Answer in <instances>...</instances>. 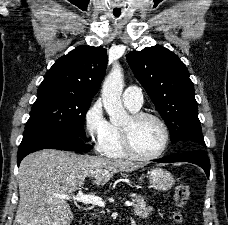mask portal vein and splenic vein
<instances>
[{"mask_svg":"<svg viewBox=\"0 0 228 225\" xmlns=\"http://www.w3.org/2000/svg\"><path fill=\"white\" fill-rule=\"evenodd\" d=\"M77 195H57L59 199H66V201H78V203H92V205H98V207H105L106 203L101 199V197H89V195H84V191L81 186L77 187ZM127 207H132L133 203H125Z\"/></svg>","mask_w":228,"mask_h":225,"instance_id":"1","label":"portal vein and splenic vein"}]
</instances>
